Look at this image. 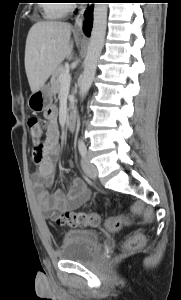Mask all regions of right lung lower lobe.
Instances as JSON below:
<instances>
[{
    "label": "right lung lower lobe",
    "instance_id": "right-lung-lower-lobe-1",
    "mask_svg": "<svg viewBox=\"0 0 181 300\" xmlns=\"http://www.w3.org/2000/svg\"><path fill=\"white\" fill-rule=\"evenodd\" d=\"M91 26H92V7L88 9L86 13V22L84 25V31L86 35L90 34Z\"/></svg>",
    "mask_w": 181,
    "mask_h": 300
}]
</instances>
